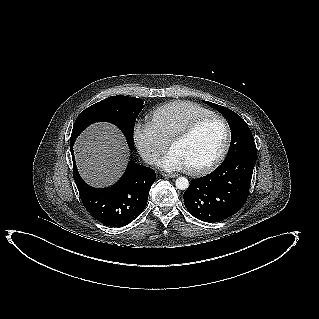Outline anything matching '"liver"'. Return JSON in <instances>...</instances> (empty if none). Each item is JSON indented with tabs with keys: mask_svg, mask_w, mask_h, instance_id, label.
Masks as SVG:
<instances>
[{
	"mask_svg": "<svg viewBox=\"0 0 319 319\" xmlns=\"http://www.w3.org/2000/svg\"><path fill=\"white\" fill-rule=\"evenodd\" d=\"M74 153L81 177L94 187L116 182L130 155L122 132L102 122L92 124L76 139Z\"/></svg>",
	"mask_w": 319,
	"mask_h": 319,
	"instance_id": "1",
	"label": "liver"
}]
</instances>
